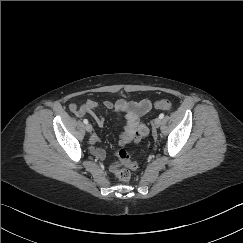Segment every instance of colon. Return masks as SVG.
I'll use <instances>...</instances> for the list:
<instances>
[{"instance_id": "colon-1", "label": "colon", "mask_w": 243, "mask_h": 243, "mask_svg": "<svg viewBox=\"0 0 243 243\" xmlns=\"http://www.w3.org/2000/svg\"><path fill=\"white\" fill-rule=\"evenodd\" d=\"M154 106L158 109L167 110L171 108L172 103L168 99H160L154 103ZM116 159L125 168L116 169L115 174L118 176L119 179L123 181L130 180L131 174L129 169L136 170L138 168V164L135 161L131 160L130 157L123 151H118L116 153Z\"/></svg>"}]
</instances>
